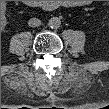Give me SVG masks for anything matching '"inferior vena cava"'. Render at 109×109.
<instances>
[{
	"label": "inferior vena cava",
	"mask_w": 109,
	"mask_h": 109,
	"mask_svg": "<svg viewBox=\"0 0 109 109\" xmlns=\"http://www.w3.org/2000/svg\"><path fill=\"white\" fill-rule=\"evenodd\" d=\"M28 25L30 27H37V26H40L41 25V20H39L38 18H31L29 21H28Z\"/></svg>",
	"instance_id": "obj_1"
}]
</instances>
